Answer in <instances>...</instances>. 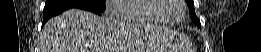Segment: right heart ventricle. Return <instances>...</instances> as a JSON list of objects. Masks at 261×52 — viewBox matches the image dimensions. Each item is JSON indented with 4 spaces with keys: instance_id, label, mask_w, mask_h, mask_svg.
Here are the masks:
<instances>
[{
    "instance_id": "right-heart-ventricle-1",
    "label": "right heart ventricle",
    "mask_w": 261,
    "mask_h": 52,
    "mask_svg": "<svg viewBox=\"0 0 261 52\" xmlns=\"http://www.w3.org/2000/svg\"><path fill=\"white\" fill-rule=\"evenodd\" d=\"M158 0H125L115 7L120 20L125 23L136 24H166L158 14Z\"/></svg>"
}]
</instances>
